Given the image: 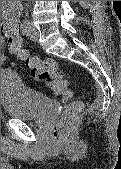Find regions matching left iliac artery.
<instances>
[{"instance_id":"left-iliac-artery-1","label":"left iliac artery","mask_w":121,"mask_h":169,"mask_svg":"<svg viewBox=\"0 0 121 169\" xmlns=\"http://www.w3.org/2000/svg\"><path fill=\"white\" fill-rule=\"evenodd\" d=\"M30 21L29 20H24L21 24V29L24 33L28 31Z\"/></svg>"}]
</instances>
